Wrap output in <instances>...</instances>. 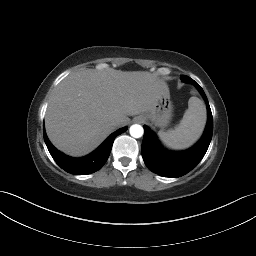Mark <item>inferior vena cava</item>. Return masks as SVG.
I'll list each match as a JSON object with an SVG mask.
<instances>
[{
	"label": "inferior vena cava",
	"mask_w": 256,
	"mask_h": 256,
	"mask_svg": "<svg viewBox=\"0 0 256 256\" xmlns=\"http://www.w3.org/2000/svg\"><path fill=\"white\" fill-rule=\"evenodd\" d=\"M113 125L118 126V125H120V122L118 120H115V121H113Z\"/></svg>",
	"instance_id": "1"
}]
</instances>
